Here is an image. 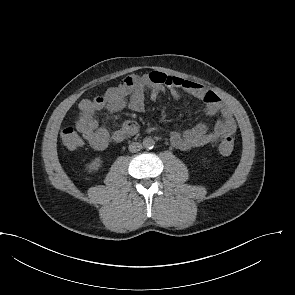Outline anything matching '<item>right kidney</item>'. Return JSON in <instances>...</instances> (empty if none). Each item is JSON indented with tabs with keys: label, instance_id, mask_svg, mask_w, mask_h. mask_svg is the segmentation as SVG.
<instances>
[{
	"label": "right kidney",
	"instance_id": "obj_1",
	"mask_svg": "<svg viewBox=\"0 0 295 295\" xmlns=\"http://www.w3.org/2000/svg\"><path fill=\"white\" fill-rule=\"evenodd\" d=\"M102 161L100 158H95L88 166L87 169L89 172L97 171L101 167Z\"/></svg>",
	"mask_w": 295,
	"mask_h": 295
}]
</instances>
